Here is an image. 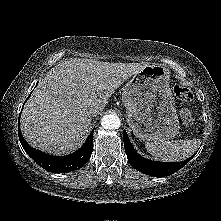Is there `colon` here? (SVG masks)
<instances>
[{"label":"colon","instance_id":"5ec220e1","mask_svg":"<svg viewBox=\"0 0 221 221\" xmlns=\"http://www.w3.org/2000/svg\"><path fill=\"white\" fill-rule=\"evenodd\" d=\"M174 93L177 100L180 103H189L193 99V92L192 90L184 85V84H177L174 87ZM181 120L185 125L193 124V116L189 110H182L181 112Z\"/></svg>","mask_w":221,"mask_h":221}]
</instances>
